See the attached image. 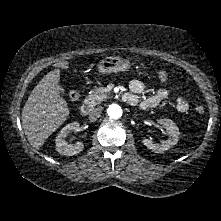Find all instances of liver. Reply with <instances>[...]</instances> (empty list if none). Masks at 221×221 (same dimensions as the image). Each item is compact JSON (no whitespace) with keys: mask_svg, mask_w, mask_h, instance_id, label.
Instances as JSON below:
<instances>
[{"mask_svg":"<svg viewBox=\"0 0 221 221\" xmlns=\"http://www.w3.org/2000/svg\"><path fill=\"white\" fill-rule=\"evenodd\" d=\"M60 70L50 71L32 90L22 110V125L32 147L39 149L67 119L69 108L61 97Z\"/></svg>","mask_w":221,"mask_h":221,"instance_id":"liver-1","label":"liver"}]
</instances>
